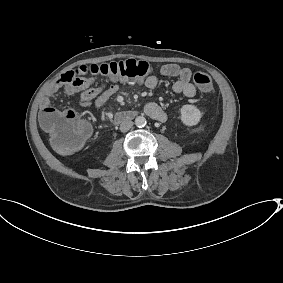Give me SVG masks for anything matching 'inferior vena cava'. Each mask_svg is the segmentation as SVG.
I'll return each mask as SVG.
<instances>
[{"mask_svg":"<svg viewBox=\"0 0 283 283\" xmlns=\"http://www.w3.org/2000/svg\"><path fill=\"white\" fill-rule=\"evenodd\" d=\"M133 125L134 123L130 120L123 121L120 125V131L127 132Z\"/></svg>","mask_w":283,"mask_h":283,"instance_id":"602c4592","label":"inferior vena cava"}]
</instances>
